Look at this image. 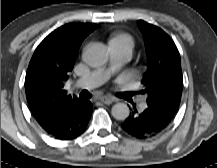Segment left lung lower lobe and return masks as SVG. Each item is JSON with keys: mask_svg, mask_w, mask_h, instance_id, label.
Masks as SVG:
<instances>
[{"mask_svg": "<svg viewBox=\"0 0 217 168\" xmlns=\"http://www.w3.org/2000/svg\"><path fill=\"white\" fill-rule=\"evenodd\" d=\"M173 117L174 114L168 109L148 103V107L142 113L133 114L127 118L122 124V128L128 134L143 139L162 132Z\"/></svg>", "mask_w": 217, "mask_h": 168, "instance_id": "left-lung-lower-lobe-1", "label": "left lung lower lobe"}]
</instances>
